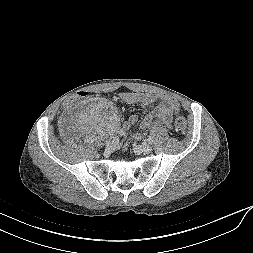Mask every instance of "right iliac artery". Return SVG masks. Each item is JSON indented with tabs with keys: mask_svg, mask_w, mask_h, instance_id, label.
<instances>
[{
	"mask_svg": "<svg viewBox=\"0 0 253 253\" xmlns=\"http://www.w3.org/2000/svg\"><path fill=\"white\" fill-rule=\"evenodd\" d=\"M117 133H118L120 136L125 135V131H124L123 129H119V130L117 131Z\"/></svg>",
	"mask_w": 253,
	"mask_h": 253,
	"instance_id": "right-iliac-artery-1",
	"label": "right iliac artery"
}]
</instances>
